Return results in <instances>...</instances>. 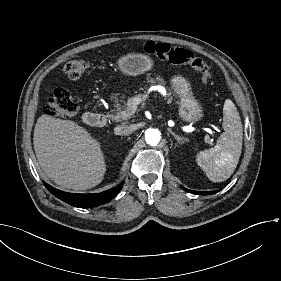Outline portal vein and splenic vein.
Wrapping results in <instances>:
<instances>
[{
  "mask_svg": "<svg viewBox=\"0 0 281 281\" xmlns=\"http://www.w3.org/2000/svg\"><path fill=\"white\" fill-rule=\"evenodd\" d=\"M145 97H148V96H145L144 93H139L138 95H134L131 98V100L129 101V108L127 109V112L125 113V117L127 119H130L133 116V113H134L137 105L139 104V101L144 100ZM153 98H155V97H153ZM200 127H203V126H200Z\"/></svg>",
  "mask_w": 281,
  "mask_h": 281,
  "instance_id": "18ae733b",
  "label": "portal vein and splenic vein"
}]
</instances>
